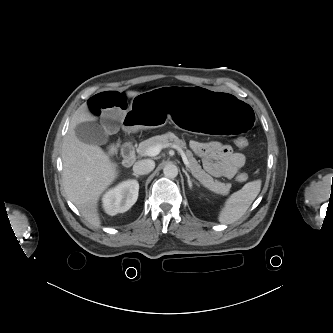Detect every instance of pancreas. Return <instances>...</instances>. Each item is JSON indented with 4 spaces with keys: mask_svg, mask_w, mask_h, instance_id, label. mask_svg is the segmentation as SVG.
Masks as SVG:
<instances>
[{
    "mask_svg": "<svg viewBox=\"0 0 333 333\" xmlns=\"http://www.w3.org/2000/svg\"><path fill=\"white\" fill-rule=\"evenodd\" d=\"M173 143L180 149H186V143L180 140L174 133L168 132L162 135H157L151 137L145 141H142L137 148V152L145 156L147 149L156 145H167ZM186 156L189 160V168L192 175L206 188L212 192L220 195H227L230 191V183H222L220 181L214 180L208 173H206L201 166L198 164L197 160L194 158L193 153L190 150H186Z\"/></svg>",
    "mask_w": 333,
    "mask_h": 333,
    "instance_id": "obj_1",
    "label": "pancreas"
}]
</instances>
